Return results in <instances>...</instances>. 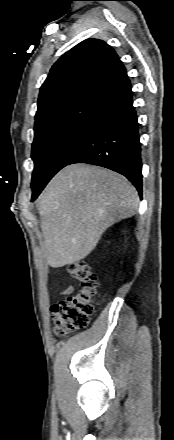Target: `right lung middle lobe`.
<instances>
[{"label":"right lung middle lobe","instance_id":"dd1d6c3e","mask_svg":"<svg viewBox=\"0 0 174 440\" xmlns=\"http://www.w3.org/2000/svg\"><path fill=\"white\" fill-rule=\"evenodd\" d=\"M97 94L78 98L35 122L32 189L48 181L74 157L91 124Z\"/></svg>","mask_w":174,"mask_h":440}]
</instances>
